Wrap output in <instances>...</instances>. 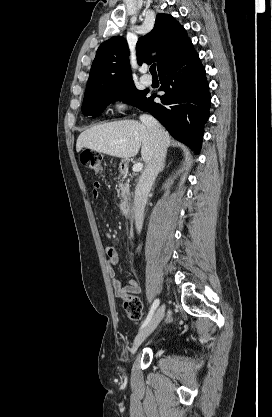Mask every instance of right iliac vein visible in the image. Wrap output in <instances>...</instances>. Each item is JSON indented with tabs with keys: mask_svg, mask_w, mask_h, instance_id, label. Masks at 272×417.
<instances>
[{
	"mask_svg": "<svg viewBox=\"0 0 272 417\" xmlns=\"http://www.w3.org/2000/svg\"><path fill=\"white\" fill-rule=\"evenodd\" d=\"M165 312V305H161L157 311L155 312L154 316L150 320V322L137 334L134 339L131 354H135L139 346L142 342L154 331V329L158 326L160 321L162 320Z\"/></svg>",
	"mask_w": 272,
	"mask_h": 417,
	"instance_id": "1",
	"label": "right iliac vein"
}]
</instances>
